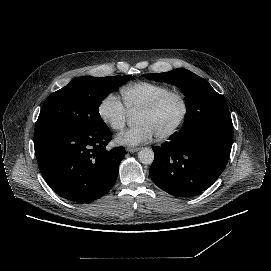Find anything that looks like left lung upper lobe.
Returning <instances> with one entry per match:
<instances>
[{"mask_svg": "<svg viewBox=\"0 0 271 271\" xmlns=\"http://www.w3.org/2000/svg\"><path fill=\"white\" fill-rule=\"evenodd\" d=\"M144 77L174 84L182 90L186 97L187 115L181 132L208 122L232 124L224 98L206 80L191 71L178 68L165 73L145 74Z\"/></svg>", "mask_w": 271, "mask_h": 271, "instance_id": "1", "label": "left lung upper lobe"}]
</instances>
